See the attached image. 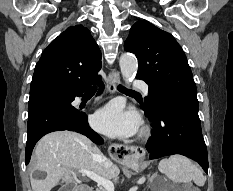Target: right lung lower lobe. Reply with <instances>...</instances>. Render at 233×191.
<instances>
[{"mask_svg": "<svg viewBox=\"0 0 233 191\" xmlns=\"http://www.w3.org/2000/svg\"><path fill=\"white\" fill-rule=\"evenodd\" d=\"M97 82L100 85L98 91V94H100L104 89V85L100 78L94 83ZM44 91L40 90L30 94L29 100H34L35 103L29 108L28 114L27 144L25 150L26 164L30 161L36 142L45 134L53 131H75L87 136L97 144H102L103 139L90 128L85 113L77 109H70L54 101L38 98ZM84 91L75 90L64 94L70 97L72 102L76 96H81Z\"/></svg>", "mask_w": 233, "mask_h": 191, "instance_id": "1", "label": "right lung lower lobe"}]
</instances>
